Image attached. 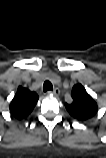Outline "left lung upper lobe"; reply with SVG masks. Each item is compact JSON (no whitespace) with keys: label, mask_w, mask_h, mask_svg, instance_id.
Returning <instances> with one entry per match:
<instances>
[{"label":"left lung upper lobe","mask_w":106,"mask_h":158,"mask_svg":"<svg viewBox=\"0 0 106 158\" xmlns=\"http://www.w3.org/2000/svg\"><path fill=\"white\" fill-rule=\"evenodd\" d=\"M72 103L65 104L69 114L79 121H86L94 117L98 111L95 100L86 92L81 84L72 88Z\"/></svg>","instance_id":"left-lung-upper-lobe-1"}]
</instances>
